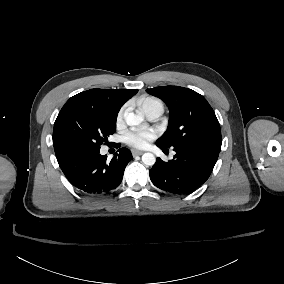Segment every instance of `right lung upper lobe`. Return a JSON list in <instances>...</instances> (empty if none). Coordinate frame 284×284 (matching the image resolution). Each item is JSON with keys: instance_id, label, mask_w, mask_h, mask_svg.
Returning <instances> with one entry per match:
<instances>
[{"instance_id": "right-lung-upper-lobe-1", "label": "right lung upper lobe", "mask_w": 284, "mask_h": 284, "mask_svg": "<svg viewBox=\"0 0 284 284\" xmlns=\"http://www.w3.org/2000/svg\"><path fill=\"white\" fill-rule=\"evenodd\" d=\"M138 92L137 89H90L81 92L72 99H85L102 106L106 111L112 114H118L122 105ZM62 155H56L60 157Z\"/></svg>"}]
</instances>
